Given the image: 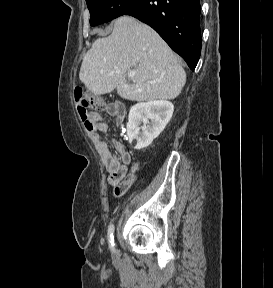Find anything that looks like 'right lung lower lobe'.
Listing matches in <instances>:
<instances>
[{
	"instance_id": "98d812e1",
	"label": "right lung lower lobe",
	"mask_w": 273,
	"mask_h": 288,
	"mask_svg": "<svg viewBox=\"0 0 273 288\" xmlns=\"http://www.w3.org/2000/svg\"><path fill=\"white\" fill-rule=\"evenodd\" d=\"M123 15L151 26L195 69L201 53L199 0H135Z\"/></svg>"
}]
</instances>
